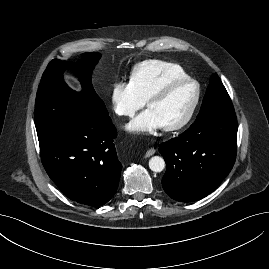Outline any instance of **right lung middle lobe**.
<instances>
[{
	"mask_svg": "<svg viewBox=\"0 0 269 269\" xmlns=\"http://www.w3.org/2000/svg\"><path fill=\"white\" fill-rule=\"evenodd\" d=\"M99 58V53H84L82 60L77 63L55 59L48 65L36 97L35 125L39 141L60 134L83 119H110L104 102L96 94L91 83L90 70ZM66 68L79 73L81 92L70 89L63 81L62 72Z\"/></svg>",
	"mask_w": 269,
	"mask_h": 269,
	"instance_id": "1",
	"label": "right lung middle lobe"
}]
</instances>
